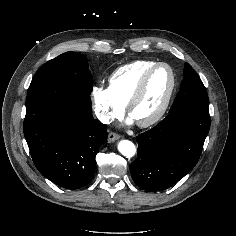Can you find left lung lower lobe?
<instances>
[{"label":"left lung lower lobe","instance_id":"obj_1","mask_svg":"<svg viewBox=\"0 0 236 236\" xmlns=\"http://www.w3.org/2000/svg\"><path fill=\"white\" fill-rule=\"evenodd\" d=\"M209 128V111L182 109L138 135L137 158L130 165L135 184L156 192L181 180L197 164Z\"/></svg>","mask_w":236,"mask_h":236}]
</instances>
